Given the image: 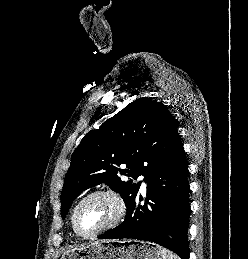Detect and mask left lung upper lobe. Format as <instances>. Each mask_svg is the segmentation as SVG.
<instances>
[{"instance_id":"left-lung-upper-lobe-1","label":"left lung upper lobe","mask_w":248,"mask_h":259,"mask_svg":"<svg viewBox=\"0 0 248 259\" xmlns=\"http://www.w3.org/2000/svg\"><path fill=\"white\" fill-rule=\"evenodd\" d=\"M180 144L175 119L165 105L148 97L133 101L89 131L73 152L60 198L62 218L81 192L101 183L119 193L128 208L141 184L133 179L144 175L146 180ZM120 164L127 169L117 168ZM118 171L131 178L122 181Z\"/></svg>"}]
</instances>
